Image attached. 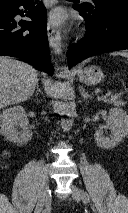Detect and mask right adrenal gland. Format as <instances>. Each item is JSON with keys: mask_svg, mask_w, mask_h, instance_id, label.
<instances>
[{"mask_svg": "<svg viewBox=\"0 0 128 213\" xmlns=\"http://www.w3.org/2000/svg\"><path fill=\"white\" fill-rule=\"evenodd\" d=\"M38 93L43 94V92L41 91V89H40V87H39V84L37 83L35 95H38Z\"/></svg>", "mask_w": 128, "mask_h": 213, "instance_id": "obj_1", "label": "right adrenal gland"}]
</instances>
